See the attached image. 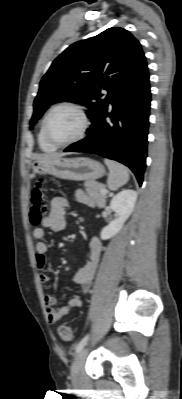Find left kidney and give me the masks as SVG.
Instances as JSON below:
<instances>
[{
  "instance_id": "obj_1",
  "label": "left kidney",
  "mask_w": 182,
  "mask_h": 399,
  "mask_svg": "<svg viewBox=\"0 0 182 399\" xmlns=\"http://www.w3.org/2000/svg\"><path fill=\"white\" fill-rule=\"evenodd\" d=\"M136 200L137 192L132 189L123 190L112 198L110 208L116 213L117 218L102 229L100 233L102 240L112 238L122 229L134 210Z\"/></svg>"
}]
</instances>
